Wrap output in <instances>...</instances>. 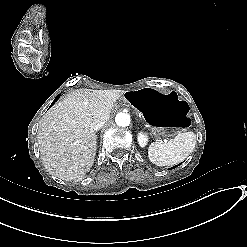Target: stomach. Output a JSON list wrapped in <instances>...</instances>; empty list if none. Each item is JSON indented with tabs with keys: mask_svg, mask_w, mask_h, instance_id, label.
<instances>
[{
	"mask_svg": "<svg viewBox=\"0 0 247 247\" xmlns=\"http://www.w3.org/2000/svg\"><path fill=\"white\" fill-rule=\"evenodd\" d=\"M125 98L139 111L156 137L179 134L190 125L189 105L174 91L144 87L126 92Z\"/></svg>",
	"mask_w": 247,
	"mask_h": 247,
	"instance_id": "1",
	"label": "stomach"
}]
</instances>
